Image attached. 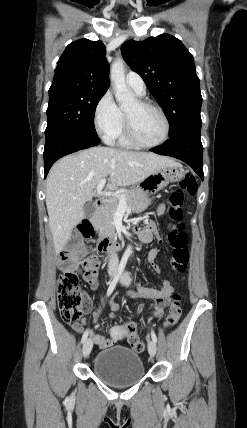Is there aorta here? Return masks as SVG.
I'll list each match as a JSON object with an SVG mask.
<instances>
[{"label":"aorta","instance_id":"aorta-1","mask_svg":"<svg viewBox=\"0 0 247 428\" xmlns=\"http://www.w3.org/2000/svg\"><path fill=\"white\" fill-rule=\"evenodd\" d=\"M110 79L113 84L115 98L122 108L128 107L134 101V95L128 90L125 82V66L121 58L116 59L111 67ZM132 254L131 246H128L124 255Z\"/></svg>","mask_w":247,"mask_h":428}]
</instances>
